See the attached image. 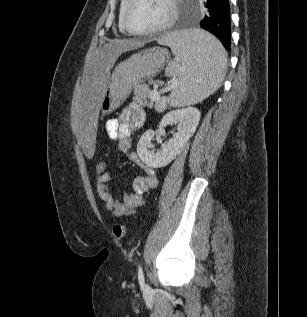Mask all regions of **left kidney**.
Returning a JSON list of instances; mask_svg holds the SVG:
<instances>
[{
	"mask_svg": "<svg viewBox=\"0 0 307 317\" xmlns=\"http://www.w3.org/2000/svg\"><path fill=\"white\" fill-rule=\"evenodd\" d=\"M200 117V111L194 107L177 109L166 113L159 127L163 128L168 125L178 124L177 132L173 134L167 143L161 145L160 150L154 152L151 150V140L154 139L156 132L151 129L147 130L141 136L137 145V154L140 160L152 168H159L169 164L195 132Z\"/></svg>",
	"mask_w": 307,
	"mask_h": 317,
	"instance_id": "1",
	"label": "left kidney"
}]
</instances>
